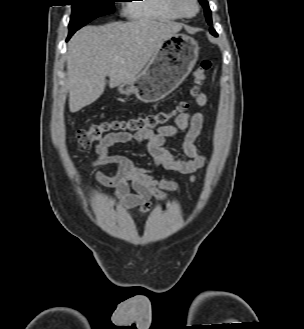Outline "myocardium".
Instances as JSON below:
<instances>
[{"mask_svg":"<svg viewBox=\"0 0 304 329\" xmlns=\"http://www.w3.org/2000/svg\"><path fill=\"white\" fill-rule=\"evenodd\" d=\"M194 5V11L192 13H187L182 8V0H168L169 6L171 9L182 18H193L195 17L200 11V5L198 0H190Z\"/></svg>","mask_w":304,"mask_h":329,"instance_id":"1","label":"myocardium"}]
</instances>
